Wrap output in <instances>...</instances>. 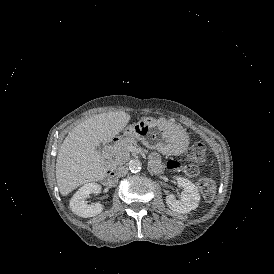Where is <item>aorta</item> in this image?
<instances>
[{"label": "aorta", "mask_w": 274, "mask_h": 274, "mask_svg": "<svg viewBox=\"0 0 274 274\" xmlns=\"http://www.w3.org/2000/svg\"><path fill=\"white\" fill-rule=\"evenodd\" d=\"M141 162L138 160V159H134V160H131L129 162V170L132 172V173H137L140 171L141 169Z\"/></svg>", "instance_id": "1"}]
</instances>
